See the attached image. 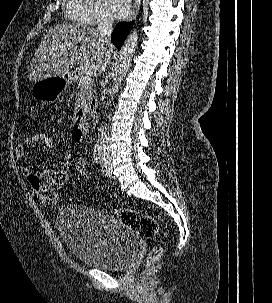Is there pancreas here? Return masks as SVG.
Instances as JSON below:
<instances>
[{
    "label": "pancreas",
    "mask_w": 272,
    "mask_h": 303,
    "mask_svg": "<svg viewBox=\"0 0 272 303\" xmlns=\"http://www.w3.org/2000/svg\"><path fill=\"white\" fill-rule=\"evenodd\" d=\"M78 94L77 98L78 101H82L84 103L90 102V100L93 98V90H92V84L91 85H83L81 83L78 84Z\"/></svg>",
    "instance_id": "pancreas-1"
}]
</instances>
